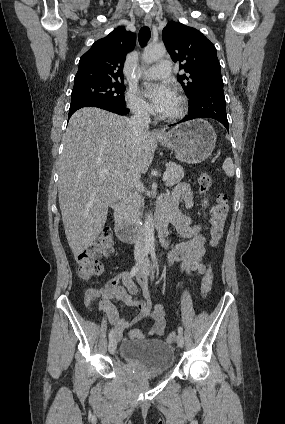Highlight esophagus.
Listing matches in <instances>:
<instances>
[{
  "mask_svg": "<svg viewBox=\"0 0 285 424\" xmlns=\"http://www.w3.org/2000/svg\"><path fill=\"white\" fill-rule=\"evenodd\" d=\"M144 24L148 27H150L152 25V17L151 15L147 14L144 18ZM151 135L153 137H161L163 136V132L160 131L159 129L155 128L152 130Z\"/></svg>",
  "mask_w": 285,
  "mask_h": 424,
  "instance_id": "obj_1",
  "label": "esophagus"
}]
</instances>
